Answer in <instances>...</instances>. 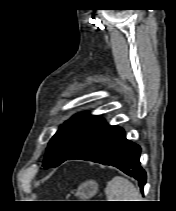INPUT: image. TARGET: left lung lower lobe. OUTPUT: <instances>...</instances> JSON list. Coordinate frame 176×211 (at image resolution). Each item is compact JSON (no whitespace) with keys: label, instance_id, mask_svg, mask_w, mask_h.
I'll return each instance as SVG.
<instances>
[{"label":"left lung lower lobe","instance_id":"1","mask_svg":"<svg viewBox=\"0 0 176 211\" xmlns=\"http://www.w3.org/2000/svg\"><path fill=\"white\" fill-rule=\"evenodd\" d=\"M140 147L127 140L124 130L106 125L67 160L80 159L117 167L138 180L140 189L146 182V173L140 166Z\"/></svg>","mask_w":176,"mask_h":211}]
</instances>
